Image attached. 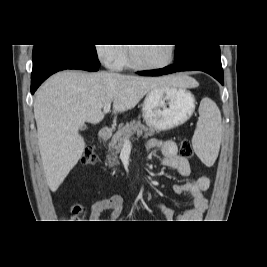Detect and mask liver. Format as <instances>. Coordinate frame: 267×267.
<instances>
[{
	"label": "liver",
	"mask_w": 267,
	"mask_h": 267,
	"mask_svg": "<svg viewBox=\"0 0 267 267\" xmlns=\"http://www.w3.org/2000/svg\"><path fill=\"white\" fill-rule=\"evenodd\" d=\"M187 76L139 77L101 71H62L36 92L34 117L47 184L55 192L77 164L85 149L79 129L97 124L102 108L113 102V113L134 108L152 89L165 86L197 87Z\"/></svg>",
	"instance_id": "6515ba94"
}]
</instances>
